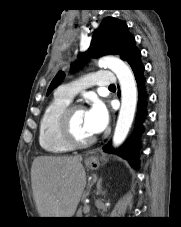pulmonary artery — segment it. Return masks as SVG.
<instances>
[{
	"instance_id": "obj_1",
	"label": "pulmonary artery",
	"mask_w": 181,
	"mask_h": 227,
	"mask_svg": "<svg viewBox=\"0 0 181 227\" xmlns=\"http://www.w3.org/2000/svg\"><path fill=\"white\" fill-rule=\"evenodd\" d=\"M115 82L116 76L113 73L106 71H97L91 76L87 77L82 83H71L59 87L57 90V94L69 100H72L81 84L105 87L113 85Z\"/></svg>"
}]
</instances>
